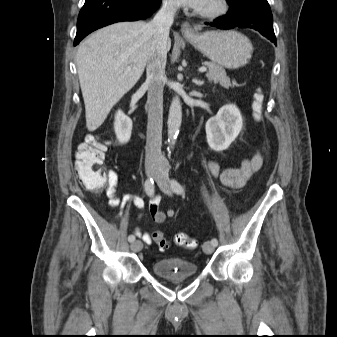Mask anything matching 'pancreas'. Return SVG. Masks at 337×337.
<instances>
[{
	"label": "pancreas",
	"instance_id": "1",
	"mask_svg": "<svg viewBox=\"0 0 337 337\" xmlns=\"http://www.w3.org/2000/svg\"><path fill=\"white\" fill-rule=\"evenodd\" d=\"M209 71L206 74V77L210 82L220 83L223 88L232 87V83L230 82V78L226 75L224 68L213 62H205L204 63Z\"/></svg>",
	"mask_w": 337,
	"mask_h": 337
}]
</instances>
